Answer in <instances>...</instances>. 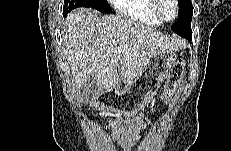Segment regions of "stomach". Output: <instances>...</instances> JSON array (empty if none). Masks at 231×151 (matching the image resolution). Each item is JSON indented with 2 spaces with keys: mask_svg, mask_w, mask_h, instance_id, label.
<instances>
[{
  "mask_svg": "<svg viewBox=\"0 0 231 151\" xmlns=\"http://www.w3.org/2000/svg\"><path fill=\"white\" fill-rule=\"evenodd\" d=\"M176 63L174 51L158 50L147 60L144 68L122 90L108 95L109 106L125 115H134L153 98L161 83Z\"/></svg>",
  "mask_w": 231,
  "mask_h": 151,
  "instance_id": "stomach-1",
  "label": "stomach"
}]
</instances>
